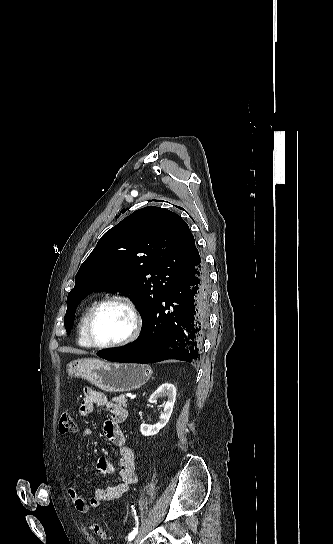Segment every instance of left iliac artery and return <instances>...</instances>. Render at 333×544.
Returning <instances> with one entry per match:
<instances>
[{
  "mask_svg": "<svg viewBox=\"0 0 333 544\" xmlns=\"http://www.w3.org/2000/svg\"><path fill=\"white\" fill-rule=\"evenodd\" d=\"M132 511L134 513V517H135V520H136V527H134L133 531H131L128 535V540L131 541L135 538V536L137 535L138 533V516L136 515V511L134 510V506L132 505Z\"/></svg>",
  "mask_w": 333,
  "mask_h": 544,
  "instance_id": "left-iliac-artery-1",
  "label": "left iliac artery"
}]
</instances>
